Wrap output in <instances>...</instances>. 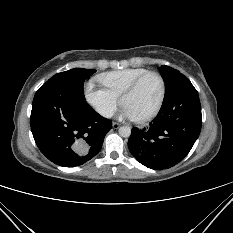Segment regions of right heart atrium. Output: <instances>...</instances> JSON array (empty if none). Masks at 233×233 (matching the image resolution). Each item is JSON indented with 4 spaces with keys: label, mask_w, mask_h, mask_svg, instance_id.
<instances>
[{
    "label": "right heart atrium",
    "mask_w": 233,
    "mask_h": 233,
    "mask_svg": "<svg viewBox=\"0 0 233 233\" xmlns=\"http://www.w3.org/2000/svg\"><path fill=\"white\" fill-rule=\"evenodd\" d=\"M84 95L88 104L102 117L108 118L114 112L118 97L104 87H97L93 81L86 83Z\"/></svg>",
    "instance_id": "right-heart-atrium-1"
}]
</instances>
